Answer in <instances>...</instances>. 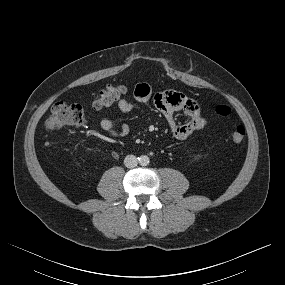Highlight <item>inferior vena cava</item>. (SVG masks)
<instances>
[{
    "mask_svg": "<svg viewBox=\"0 0 285 285\" xmlns=\"http://www.w3.org/2000/svg\"><path fill=\"white\" fill-rule=\"evenodd\" d=\"M124 165L127 168H134L138 165V160L134 155H127L124 159Z\"/></svg>",
    "mask_w": 285,
    "mask_h": 285,
    "instance_id": "inferior-vena-cava-1",
    "label": "inferior vena cava"
}]
</instances>
